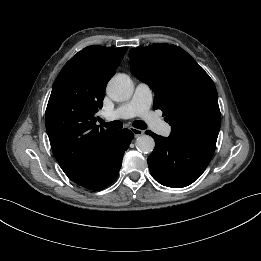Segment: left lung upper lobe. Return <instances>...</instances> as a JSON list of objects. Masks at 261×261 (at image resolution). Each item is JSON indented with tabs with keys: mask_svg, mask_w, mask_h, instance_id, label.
Listing matches in <instances>:
<instances>
[{
	"mask_svg": "<svg viewBox=\"0 0 261 261\" xmlns=\"http://www.w3.org/2000/svg\"><path fill=\"white\" fill-rule=\"evenodd\" d=\"M129 58L132 74L157 95L153 107L163 111L171 136L216 146L221 124L218 94L204 69L182 48L164 43L133 48Z\"/></svg>",
	"mask_w": 261,
	"mask_h": 261,
	"instance_id": "1",
	"label": "left lung upper lobe"
}]
</instances>
